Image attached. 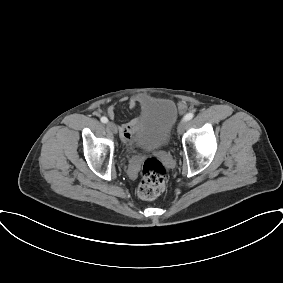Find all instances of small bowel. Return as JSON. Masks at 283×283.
<instances>
[{
	"label": "small bowel",
	"instance_id": "obj_1",
	"mask_svg": "<svg viewBox=\"0 0 283 283\" xmlns=\"http://www.w3.org/2000/svg\"><path fill=\"white\" fill-rule=\"evenodd\" d=\"M124 101L127 102L130 109H134L138 105H146L147 103V99L144 96L140 95L133 96L129 99H124ZM178 108L180 113H184L187 109V106L184 103H180ZM106 113L110 118H113L115 116V106L110 105L107 108ZM140 122L141 117H137L119 126L121 139L128 147H131L133 145V135L139 129Z\"/></svg>",
	"mask_w": 283,
	"mask_h": 283
}]
</instances>
